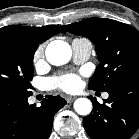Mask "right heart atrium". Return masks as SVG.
<instances>
[{
	"instance_id": "d8ad5b80",
	"label": "right heart atrium",
	"mask_w": 139,
	"mask_h": 139,
	"mask_svg": "<svg viewBox=\"0 0 139 139\" xmlns=\"http://www.w3.org/2000/svg\"><path fill=\"white\" fill-rule=\"evenodd\" d=\"M43 58V46H39L34 53V62L38 65Z\"/></svg>"
}]
</instances>
